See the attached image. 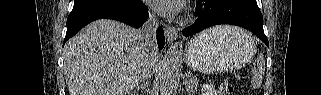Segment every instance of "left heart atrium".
<instances>
[{"instance_id":"obj_1","label":"left heart atrium","mask_w":321,"mask_h":95,"mask_svg":"<svg viewBox=\"0 0 321 95\" xmlns=\"http://www.w3.org/2000/svg\"><path fill=\"white\" fill-rule=\"evenodd\" d=\"M154 9L165 14L178 13L184 4L182 0H151Z\"/></svg>"}]
</instances>
